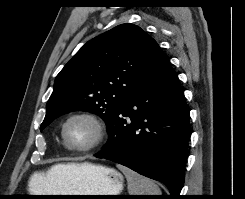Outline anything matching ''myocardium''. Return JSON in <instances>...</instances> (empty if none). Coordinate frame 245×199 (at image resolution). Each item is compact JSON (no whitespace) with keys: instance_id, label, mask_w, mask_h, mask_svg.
Wrapping results in <instances>:
<instances>
[{"instance_id":"myocardium-1","label":"myocardium","mask_w":245,"mask_h":199,"mask_svg":"<svg viewBox=\"0 0 245 199\" xmlns=\"http://www.w3.org/2000/svg\"><path fill=\"white\" fill-rule=\"evenodd\" d=\"M77 118L86 119L90 121L95 127V130H96L95 139L93 140L92 143H90L87 146H83V147L74 146L70 143L67 137L68 124L72 120L77 119ZM61 135H62V139H63L65 146L69 150L77 152V153H89V152L94 151L98 147H100L105 142L107 138V129H106V126L103 120L100 117H98L96 114L89 112V111H76L68 115L67 118L64 120L62 124V128H61Z\"/></svg>"}]
</instances>
